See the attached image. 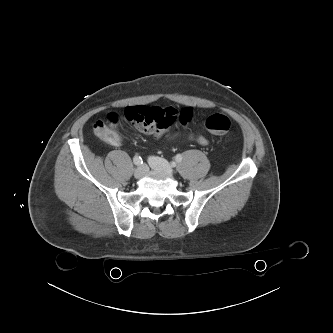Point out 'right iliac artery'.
Instances as JSON below:
<instances>
[{"instance_id": "right-iliac-artery-1", "label": "right iliac artery", "mask_w": 333, "mask_h": 333, "mask_svg": "<svg viewBox=\"0 0 333 333\" xmlns=\"http://www.w3.org/2000/svg\"><path fill=\"white\" fill-rule=\"evenodd\" d=\"M133 161H134V164L139 166L141 164H143V160L140 156L136 155L134 158H133Z\"/></svg>"}]
</instances>
